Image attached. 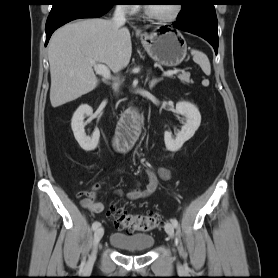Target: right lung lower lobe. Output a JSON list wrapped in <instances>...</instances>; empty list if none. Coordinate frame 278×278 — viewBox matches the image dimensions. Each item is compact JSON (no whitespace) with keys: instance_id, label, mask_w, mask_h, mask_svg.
<instances>
[{"instance_id":"right-lung-lower-lobe-1","label":"right lung lower lobe","mask_w":278,"mask_h":278,"mask_svg":"<svg viewBox=\"0 0 278 278\" xmlns=\"http://www.w3.org/2000/svg\"><path fill=\"white\" fill-rule=\"evenodd\" d=\"M113 5L64 0L58 5L53 6L46 22L45 45H47L52 33L65 23L80 18L100 17L107 13Z\"/></svg>"}]
</instances>
